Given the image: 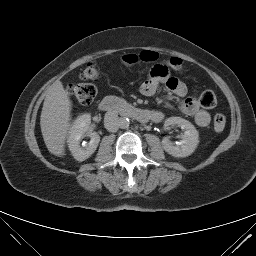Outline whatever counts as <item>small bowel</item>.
<instances>
[{
    "mask_svg": "<svg viewBox=\"0 0 256 256\" xmlns=\"http://www.w3.org/2000/svg\"><path fill=\"white\" fill-rule=\"evenodd\" d=\"M168 67L166 63L154 66L149 77L139 86L140 93L145 96H152L156 93L159 85L164 84L171 94L184 97L179 104L182 113L193 117L198 126H208L211 121L210 114L201 108L196 97L186 96L188 93L186 85L171 76ZM154 113H158L161 116L159 112Z\"/></svg>",
    "mask_w": 256,
    "mask_h": 256,
    "instance_id": "c3829d8e",
    "label": "small bowel"
}]
</instances>
